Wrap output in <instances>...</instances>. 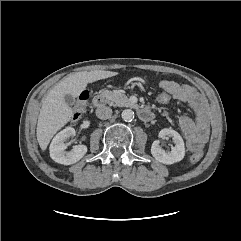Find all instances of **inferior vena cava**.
Returning a JSON list of instances; mask_svg holds the SVG:
<instances>
[{
	"label": "inferior vena cava",
	"instance_id": "inferior-vena-cava-1",
	"mask_svg": "<svg viewBox=\"0 0 241 241\" xmlns=\"http://www.w3.org/2000/svg\"><path fill=\"white\" fill-rule=\"evenodd\" d=\"M96 115L100 119H108L112 115V109L108 106H102L96 110Z\"/></svg>",
	"mask_w": 241,
	"mask_h": 241
}]
</instances>
